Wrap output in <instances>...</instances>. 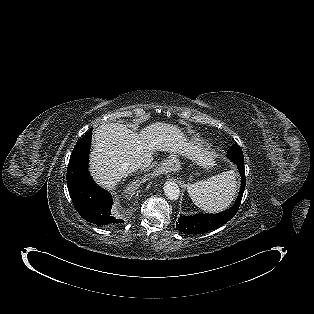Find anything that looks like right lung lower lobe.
<instances>
[{
	"label": "right lung lower lobe",
	"instance_id": "98d812e1",
	"mask_svg": "<svg viewBox=\"0 0 314 314\" xmlns=\"http://www.w3.org/2000/svg\"><path fill=\"white\" fill-rule=\"evenodd\" d=\"M91 131L75 145L68 169L67 186L77 212L88 222L101 225H116L124 222L120 214L111 212L113 199L109 192L97 186L88 172V155Z\"/></svg>",
	"mask_w": 314,
	"mask_h": 314
}]
</instances>
